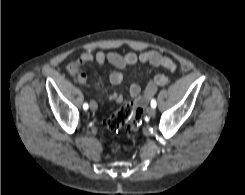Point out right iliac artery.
I'll return each instance as SVG.
<instances>
[{"instance_id": "obj_1", "label": "right iliac artery", "mask_w": 245, "mask_h": 195, "mask_svg": "<svg viewBox=\"0 0 245 195\" xmlns=\"http://www.w3.org/2000/svg\"><path fill=\"white\" fill-rule=\"evenodd\" d=\"M88 108H89L88 104H87V103H84V104H83V109H84V110H87Z\"/></svg>"}]
</instances>
